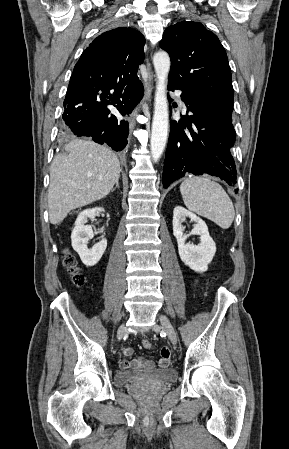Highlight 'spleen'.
Here are the masks:
<instances>
[{"label": "spleen", "mask_w": 289, "mask_h": 449, "mask_svg": "<svg viewBox=\"0 0 289 449\" xmlns=\"http://www.w3.org/2000/svg\"><path fill=\"white\" fill-rule=\"evenodd\" d=\"M185 206L222 229H228L235 217L231 199L222 186L206 176L186 178L180 185Z\"/></svg>", "instance_id": "obj_1"}]
</instances>
